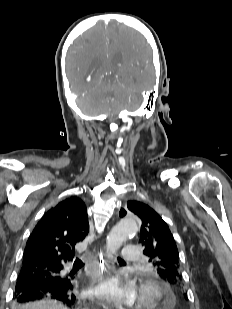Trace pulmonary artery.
<instances>
[{"instance_id":"pulmonary-artery-1","label":"pulmonary artery","mask_w":232,"mask_h":309,"mask_svg":"<svg viewBox=\"0 0 232 309\" xmlns=\"http://www.w3.org/2000/svg\"><path fill=\"white\" fill-rule=\"evenodd\" d=\"M122 258L126 261V262H136L139 259L138 256V249L136 246H127L125 247L122 252H121ZM68 269H65L64 272H67Z\"/></svg>"}]
</instances>
